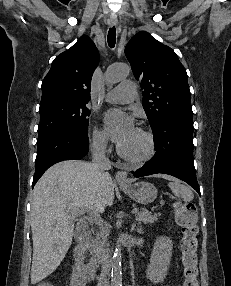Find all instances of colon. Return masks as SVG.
I'll return each mask as SVG.
<instances>
[{
    "instance_id": "1",
    "label": "colon",
    "mask_w": 231,
    "mask_h": 286,
    "mask_svg": "<svg viewBox=\"0 0 231 286\" xmlns=\"http://www.w3.org/2000/svg\"><path fill=\"white\" fill-rule=\"evenodd\" d=\"M174 216L182 229L180 247L184 268L183 286H199L197 280V208L193 203H177L174 208ZM37 286H54V284L51 282H41Z\"/></svg>"
}]
</instances>
